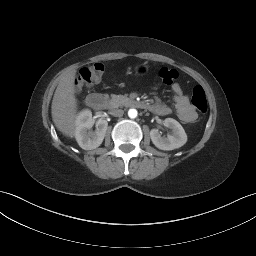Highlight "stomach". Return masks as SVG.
<instances>
[{
	"label": "stomach",
	"instance_id": "0dacf381",
	"mask_svg": "<svg viewBox=\"0 0 256 256\" xmlns=\"http://www.w3.org/2000/svg\"><path fill=\"white\" fill-rule=\"evenodd\" d=\"M147 69L145 67L137 66L135 68V73L137 75L143 74Z\"/></svg>",
	"mask_w": 256,
	"mask_h": 256
}]
</instances>
